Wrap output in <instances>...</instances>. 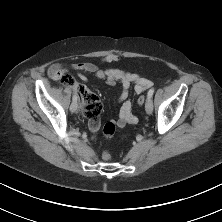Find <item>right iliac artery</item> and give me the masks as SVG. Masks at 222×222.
<instances>
[{"mask_svg":"<svg viewBox=\"0 0 222 222\" xmlns=\"http://www.w3.org/2000/svg\"><path fill=\"white\" fill-rule=\"evenodd\" d=\"M73 101H77V94L75 93L74 95H73Z\"/></svg>","mask_w":222,"mask_h":222,"instance_id":"right-iliac-artery-1","label":"right iliac artery"}]
</instances>
